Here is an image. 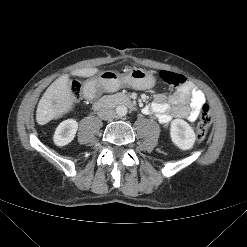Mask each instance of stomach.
<instances>
[{"mask_svg": "<svg viewBox=\"0 0 247 247\" xmlns=\"http://www.w3.org/2000/svg\"><path fill=\"white\" fill-rule=\"evenodd\" d=\"M112 81L138 90L152 88L155 84V79L152 74L141 68L130 69L123 75H119L110 71L102 72L96 79L90 81V84L93 86L102 84L106 88H109V84Z\"/></svg>", "mask_w": 247, "mask_h": 247, "instance_id": "stomach-1", "label": "stomach"}]
</instances>
